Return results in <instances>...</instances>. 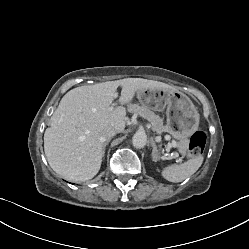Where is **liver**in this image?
I'll use <instances>...</instances> for the list:
<instances>
[{
	"instance_id": "obj_1",
	"label": "liver",
	"mask_w": 249,
	"mask_h": 249,
	"mask_svg": "<svg viewBox=\"0 0 249 249\" xmlns=\"http://www.w3.org/2000/svg\"><path fill=\"white\" fill-rule=\"evenodd\" d=\"M121 86L120 102L129 103L141 89L176 88L159 81L125 78L94 85H85L67 92L50 119L44 133V151L50 167L70 181H87L99 171L104 141L101 131L112 126L123 132L126 110L111 109L117 88Z\"/></svg>"
}]
</instances>
